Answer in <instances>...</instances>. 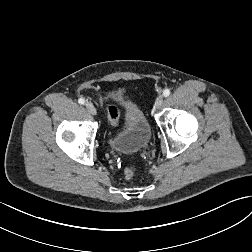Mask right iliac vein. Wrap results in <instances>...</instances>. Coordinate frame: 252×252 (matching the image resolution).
<instances>
[{
  "instance_id": "obj_1",
  "label": "right iliac vein",
  "mask_w": 252,
  "mask_h": 252,
  "mask_svg": "<svg viewBox=\"0 0 252 252\" xmlns=\"http://www.w3.org/2000/svg\"><path fill=\"white\" fill-rule=\"evenodd\" d=\"M85 107H86V109L88 110V112L90 113V114H92V115H97V111H96V108L94 107V105L92 104V103H89V102H87L86 104H85Z\"/></svg>"
}]
</instances>
